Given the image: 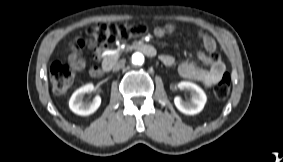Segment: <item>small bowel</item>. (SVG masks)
<instances>
[{"instance_id":"1","label":"small bowel","mask_w":283,"mask_h":162,"mask_svg":"<svg viewBox=\"0 0 283 162\" xmlns=\"http://www.w3.org/2000/svg\"><path fill=\"white\" fill-rule=\"evenodd\" d=\"M174 31L175 26L173 24H167L164 27H156L154 29V35L163 37ZM200 36L205 52H198V58L203 64L208 66V68L198 67L192 62H184L178 67V72L183 78L201 82L206 86H212L218 83L225 74V65L214 55L216 50L215 40L206 33H201ZM82 47L94 49V57L99 58L102 61L109 55V52L104 45L96 46L92 39L78 37L71 44L70 53L68 55L69 64L77 71L82 70L85 67V61L80 54V49ZM160 59L167 66H171L174 63V58L167 54L161 55ZM89 73L94 78H100L105 72L103 68L99 66L90 68Z\"/></svg>"}]
</instances>
